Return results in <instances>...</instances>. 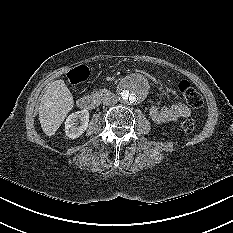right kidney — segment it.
I'll return each instance as SVG.
<instances>
[{
  "label": "right kidney",
  "instance_id": "obj_1",
  "mask_svg": "<svg viewBox=\"0 0 233 233\" xmlns=\"http://www.w3.org/2000/svg\"><path fill=\"white\" fill-rule=\"evenodd\" d=\"M88 123V110L84 109L70 114L65 121L66 136L71 139L80 137L86 131Z\"/></svg>",
  "mask_w": 233,
  "mask_h": 233
}]
</instances>
